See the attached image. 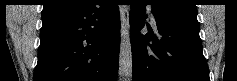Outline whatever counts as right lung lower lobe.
Returning a JSON list of instances; mask_svg holds the SVG:
<instances>
[{"label": "right lung lower lobe", "instance_id": "98d812e1", "mask_svg": "<svg viewBox=\"0 0 237 81\" xmlns=\"http://www.w3.org/2000/svg\"><path fill=\"white\" fill-rule=\"evenodd\" d=\"M120 15L113 0H87L42 18L33 81H116Z\"/></svg>", "mask_w": 237, "mask_h": 81}]
</instances>
